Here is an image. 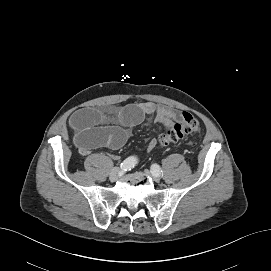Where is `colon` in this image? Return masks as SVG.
<instances>
[{
	"label": "colon",
	"mask_w": 271,
	"mask_h": 271,
	"mask_svg": "<svg viewBox=\"0 0 271 271\" xmlns=\"http://www.w3.org/2000/svg\"><path fill=\"white\" fill-rule=\"evenodd\" d=\"M198 129L199 121L189 112H183L181 121L175 123L171 128L161 134L158 137V143L161 146H166L198 131Z\"/></svg>",
	"instance_id": "1"
}]
</instances>
